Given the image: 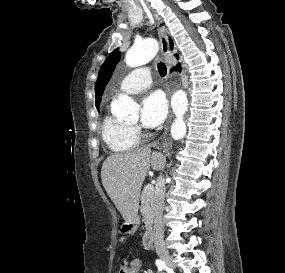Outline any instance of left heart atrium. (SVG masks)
I'll list each match as a JSON object with an SVG mask.
<instances>
[{
	"instance_id": "1",
	"label": "left heart atrium",
	"mask_w": 285,
	"mask_h": 273,
	"mask_svg": "<svg viewBox=\"0 0 285 273\" xmlns=\"http://www.w3.org/2000/svg\"><path fill=\"white\" fill-rule=\"evenodd\" d=\"M167 111V100L163 92L152 91L141 102V122L147 128L156 127L164 121Z\"/></svg>"
}]
</instances>
